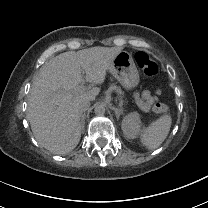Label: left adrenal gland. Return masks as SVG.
I'll return each instance as SVG.
<instances>
[{"label":"left adrenal gland","instance_id":"obj_1","mask_svg":"<svg viewBox=\"0 0 208 208\" xmlns=\"http://www.w3.org/2000/svg\"><path fill=\"white\" fill-rule=\"evenodd\" d=\"M111 110L115 112V117L117 118V121L119 120L120 116H123V110L121 107L119 108L111 107Z\"/></svg>","mask_w":208,"mask_h":208}]
</instances>
